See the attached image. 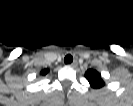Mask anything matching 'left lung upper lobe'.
Wrapping results in <instances>:
<instances>
[{
	"label": "left lung upper lobe",
	"instance_id": "1",
	"mask_svg": "<svg viewBox=\"0 0 133 106\" xmlns=\"http://www.w3.org/2000/svg\"><path fill=\"white\" fill-rule=\"evenodd\" d=\"M86 79L89 81L92 88L98 89L105 85L99 72L93 69L87 70L85 73Z\"/></svg>",
	"mask_w": 133,
	"mask_h": 106
}]
</instances>
